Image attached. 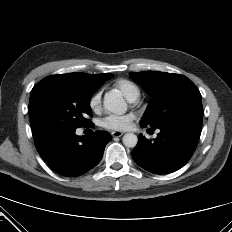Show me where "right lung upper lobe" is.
<instances>
[{
  "label": "right lung upper lobe",
  "instance_id": "cb5924a9",
  "mask_svg": "<svg viewBox=\"0 0 232 232\" xmlns=\"http://www.w3.org/2000/svg\"><path fill=\"white\" fill-rule=\"evenodd\" d=\"M83 76L87 77L90 81H92L95 85H99V87L108 79V74H98V75H90L85 73H79Z\"/></svg>",
  "mask_w": 232,
  "mask_h": 232
}]
</instances>
